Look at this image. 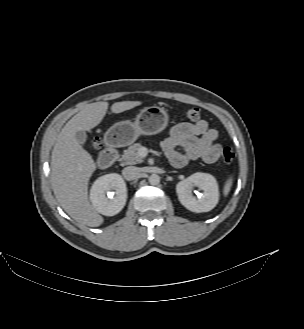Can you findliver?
Masks as SVG:
<instances>
[{
  "mask_svg": "<svg viewBox=\"0 0 304 329\" xmlns=\"http://www.w3.org/2000/svg\"><path fill=\"white\" fill-rule=\"evenodd\" d=\"M141 101H122L112 104V113L118 114L141 105ZM107 102L86 105L61 130L51 156V184L56 199L75 221L98 227L103 217L90 204L88 183L96 164L92 156L76 140L77 131H91L103 120Z\"/></svg>",
  "mask_w": 304,
  "mask_h": 329,
  "instance_id": "6515ba94",
  "label": "liver"
}]
</instances>
